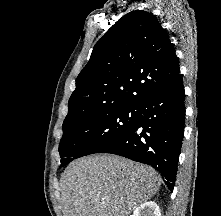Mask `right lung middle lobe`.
Returning <instances> with one entry per match:
<instances>
[{"label":"right lung middle lobe","instance_id":"dd1d6c3e","mask_svg":"<svg viewBox=\"0 0 221 216\" xmlns=\"http://www.w3.org/2000/svg\"><path fill=\"white\" fill-rule=\"evenodd\" d=\"M138 106L104 109L80 121L63 125L59 144L61 166L93 153H99L127 132L136 122Z\"/></svg>","mask_w":221,"mask_h":216}]
</instances>
